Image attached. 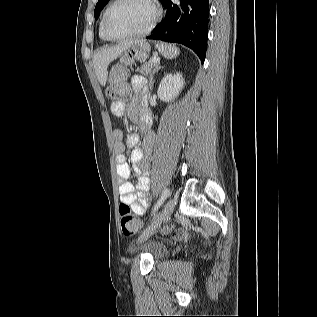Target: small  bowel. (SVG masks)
<instances>
[{"mask_svg": "<svg viewBox=\"0 0 317 317\" xmlns=\"http://www.w3.org/2000/svg\"><path fill=\"white\" fill-rule=\"evenodd\" d=\"M134 96L128 105L123 102L114 101L111 104V111L116 117L126 115L130 120L139 123L144 133L141 148L137 147L139 137L131 134L124 140V132L120 128L113 131L114 151L116 154V170L122 182L119 186V196L122 203L129 205L136 215H143L146 212L149 198V157L152 152L154 141L153 133L150 130V115L144 109L147 96V82L143 76L135 75L131 79ZM130 148V160L133 170L138 176L136 185L126 181L131 175V167L125 159V149Z\"/></svg>", "mask_w": 317, "mask_h": 317, "instance_id": "1", "label": "small bowel"}]
</instances>
